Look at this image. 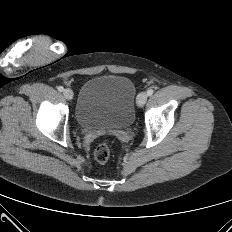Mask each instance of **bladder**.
<instances>
[{"label":"bladder","instance_id":"31cf9c89","mask_svg":"<svg viewBox=\"0 0 232 232\" xmlns=\"http://www.w3.org/2000/svg\"><path fill=\"white\" fill-rule=\"evenodd\" d=\"M136 90L121 75H101L87 80L79 93L75 116L86 129H124L135 118Z\"/></svg>","mask_w":232,"mask_h":232}]
</instances>
